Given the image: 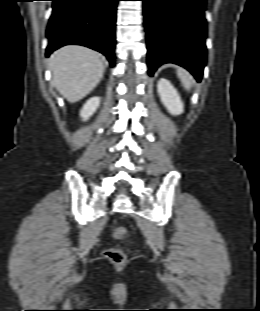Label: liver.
<instances>
[{
    "label": "liver",
    "instance_id": "6515ba94",
    "mask_svg": "<svg viewBox=\"0 0 260 311\" xmlns=\"http://www.w3.org/2000/svg\"><path fill=\"white\" fill-rule=\"evenodd\" d=\"M48 62L53 72V85L71 103L88 95L105 71L98 52L78 45L60 48Z\"/></svg>",
    "mask_w": 260,
    "mask_h": 311
}]
</instances>
